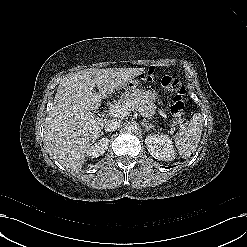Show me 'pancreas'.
<instances>
[{
    "mask_svg": "<svg viewBox=\"0 0 247 247\" xmlns=\"http://www.w3.org/2000/svg\"><path fill=\"white\" fill-rule=\"evenodd\" d=\"M141 90L135 96L127 97L120 102V106H129L130 111H139L148 120L153 119L156 113V105L141 94ZM174 125L176 122H173Z\"/></svg>",
    "mask_w": 247,
    "mask_h": 247,
    "instance_id": "cf45deb5",
    "label": "pancreas"
}]
</instances>
